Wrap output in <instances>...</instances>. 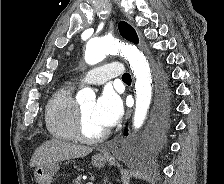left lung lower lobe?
Wrapping results in <instances>:
<instances>
[{
    "label": "left lung lower lobe",
    "instance_id": "left-lung-lower-lobe-1",
    "mask_svg": "<svg viewBox=\"0 0 224 184\" xmlns=\"http://www.w3.org/2000/svg\"><path fill=\"white\" fill-rule=\"evenodd\" d=\"M128 133L125 131V135H127Z\"/></svg>",
    "mask_w": 224,
    "mask_h": 184
}]
</instances>
